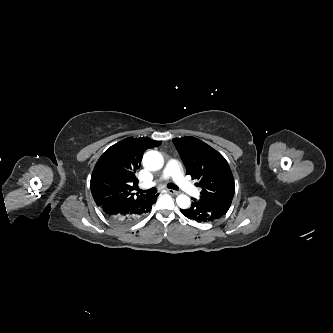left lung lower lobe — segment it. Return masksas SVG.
Returning a JSON list of instances; mask_svg holds the SVG:
<instances>
[{
	"mask_svg": "<svg viewBox=\"0 0 333 333\" xmlns=\"http://www.w3.org/2000/svg\"><path fill=\"white\" fill-rule=\"evenodd\" d=\"M229 207L222 203L200 198L199 200L194 199L190 208L180 210L189 219L198 222H211L225 215Z\"/></svg>",
	"mask_w": 333,
	"mask_h": 333,
	"instance_id": "1",
	"label": "left lung lower lobe"
}]
</instances>
